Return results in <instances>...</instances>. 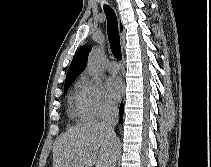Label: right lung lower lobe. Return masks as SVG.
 <instances>
[{"label":"right lung lower lobe","mask_w":211,"mask_h":167,"mask_svg":"<svg viewBox=\"0 0 211 167\" xmlns=\"http://www.w3.org/2000/svg\"><path fill=\"white\" fill-rule=\"evenodd\" d=\"M123 113H124V106H123V103L120 104V108H119V114H120V121L122 122V116H123Z\"/></svg>","instance_id":"right-lung-lower-lobe-1"}]
</instances>
